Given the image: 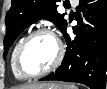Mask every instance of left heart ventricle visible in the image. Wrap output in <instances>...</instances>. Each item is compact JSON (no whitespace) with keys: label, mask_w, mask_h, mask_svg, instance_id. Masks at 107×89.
Instances as JSON below:
<instances>
[{"label":"left heart ventricle","mask_w":107,"mask_h":89,"mask_svg":"<svg viewBox=\"0 0 107 89\" xmlns=\"http://www.w3.org/2000/svg\"><path fill=\"white\" fill-rule=\"evenodd\" d=\"M57 55V44L48 34L34 36L21 56V68L26 73H36L49 67Z\"/></svg>","instance_id":"left-heart-ventricle-1"}]
</instances>
